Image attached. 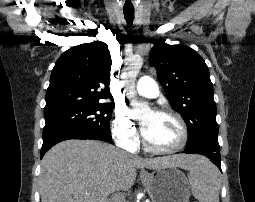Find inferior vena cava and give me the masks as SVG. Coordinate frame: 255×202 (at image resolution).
Returning a JSON list of instances; mask_svg holds the SVG:
<instances>
[{
    "label": "inferior vena cava",
    "instance_id": "obj_1",
    "mask_svg": "<svg viewBox=\"0 0 255 202\" xmlns=\"http://www.w3.org/2000/svg\"><path fill=\"white\" fill-rule=\"evenodd\" d=\"M109 202H125L122 195L120 193H115Z\"/></svg>",
    "mask_w": 255,
    "mask_h": 202
}]
</instances>
